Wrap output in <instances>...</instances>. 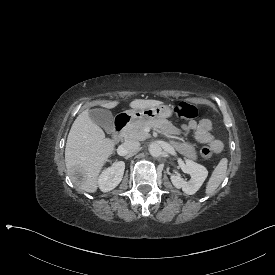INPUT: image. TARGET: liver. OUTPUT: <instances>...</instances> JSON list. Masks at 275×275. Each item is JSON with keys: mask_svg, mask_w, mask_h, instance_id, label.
<instances>
[{"mask_svg": "<svg viewBox=\"0 0 275 275\" xmlns=\"http://www.w3.org/2000/svg\"><path fill=\"white\" fill-rule=\"evenodd\" d=\"M162 103L157 100L136 99L130 103V107L143 109ZM117 105L118 101L100 103V106L108 109ZM114 146V141L105 138L103 130L90 119L88 109L79 114L67 137L65 164L69 175L74 166H80L85 171L86 181L79 186L80 189L96 192L99 172L113 153Z\"/></svg>", "mask_w": 275, "mask_h": 275, "instance_id": "liver-1", "label": "liver"}]
</instances>
